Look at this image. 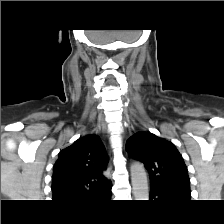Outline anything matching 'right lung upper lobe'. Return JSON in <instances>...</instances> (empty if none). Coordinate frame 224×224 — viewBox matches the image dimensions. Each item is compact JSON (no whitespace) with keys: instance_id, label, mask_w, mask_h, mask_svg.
Segmentation results:
<instances>
[{"instance_id":"1","label":"right lung upper lobe","mask_w":224,"mask_h":224,"mask_svg":"<svg viewBox=\"0 0 224 224\" xmlns=\"http://www.w3.org/2000/svg\"><path fill=\"white\" fill-rule=\"evenodd\" d=\"M108 156L97 135H86L63 149L53 168L55 202L74 205L110 194L111 181L103 176Z\"/></svg>"}]
</instances>
